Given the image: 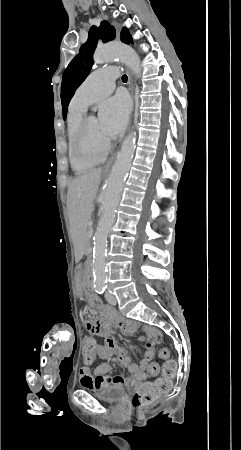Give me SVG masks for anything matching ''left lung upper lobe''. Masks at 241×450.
<instances>
[{
  "label": "left lung upper lobe",
  "instance_id": "obj_1",
  "mask_svg": "<svg viewBox=\"0 0 241 450\" xmlns=\"http://www.w3.org/2000/svg\"><path fill=\"white\" fill-rule=\"evenodd\" d=\"M116 31L107 21L101 22V26L97 28L92 26L89 30V37L85 44L79 50V54L70 62L63 74L61 85V103L63 117L66 118L68 105L73 97L75 90L82 84L90 73L93 64V53L97 46L99 38L104 42L115 38ZM121 41L126 44L132 43V37L127 28H123L120 33Z\"/></svg>",
  "mask_w": 241,
  "mask_h": 450
}]
</instances>
